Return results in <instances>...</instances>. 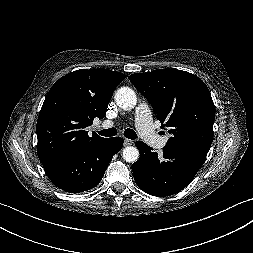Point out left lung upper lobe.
Wrapping results in <instances>:
<instances>
[{
  "mask_svg": "<svg viewBox=\"0 0 253 253\" xmlns=\"http://www.w3.org/2000/svg\"><path fill=\"white\" fill-rule=\"evenodd\" d=\"M129 80L152 105L161 128L172 136L165 149L208 151L213 140L214 103L206 84L176 69L135 73Z\"/></svg>",
  "mask_w": 253,
  "mask_h": 253,
  "instance_id": "5c2ea615",
  "label": "left lung upper lobe"
}]
</instances>
